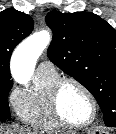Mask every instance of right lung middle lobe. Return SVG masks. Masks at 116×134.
Segmentation results:
<instances>
[{
	"mask_svg": "<svg viewBox=\"0 0 116 134\" xmlns=\"http://www.w3.org/2000/svg\"><path fill=\"white\" fill-rule=\"evenodd\" d=\"M12 80H0V120L11 117L8 103V94L12 89Z\"/></svg>",
	"mask_w": 116,
	"mask_h": 134,
	"instance_id": "obj_1",
	"label": "right lung middle lobe"
}]
</instances>
